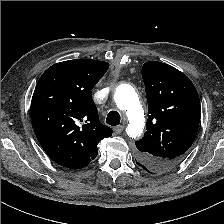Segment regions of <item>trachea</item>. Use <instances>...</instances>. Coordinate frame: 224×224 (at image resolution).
<instances>
[{"label":"trachea","instance_id":"obj_1","mask_svg":"<svg viewBox=\"0 0 224 224\" xmlns=\"http://www.w3.org/2000/svg\"><path fill=\"white\" fill-rule=\"evenodd\" d=\"M121 120L120 114L117 111H110L106 118V123L111 126L119 125Z\"/></svg>","mask_w":224,"mask_h":224}]
</instances>
